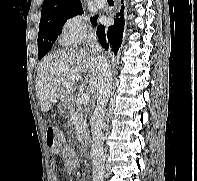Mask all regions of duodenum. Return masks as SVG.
<instances>
[{"mask_svg":"<svg viewBox=\"0 0 197 181\" xmlns=\"http://www.w3.org/2000/svg\"><path fill=\"white\" fill-rule=\"evenodd\" d=\"M90 151H91V149L88 147L87 148V153L90 155Z\"/></svg>","mask_w":197,"mask_h":181,"instance_id":"duodenum-1","label":"duodenum"}]
</instances>
